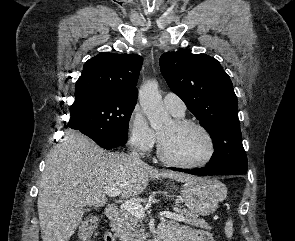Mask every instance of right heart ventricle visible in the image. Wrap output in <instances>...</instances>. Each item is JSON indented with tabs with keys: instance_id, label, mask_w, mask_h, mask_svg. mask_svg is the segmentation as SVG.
<instances>
[{
	"instance_id": "obj_1",
	"label": "right heart ventricle",
	"mask_w": 295,
	"mask_h": 241,
	"mask_svg": "<svg viewBox=\"0 0 295 241\" xmlns=\"http://www.w3.org/2000/svg\"><path fill=\"white\" fill-rule=\"evenodd\" d=\"M176 118H181L182 116H175Z\"/></svg>"
}]
</instances>
